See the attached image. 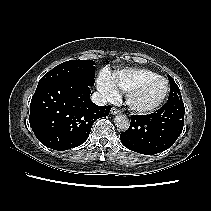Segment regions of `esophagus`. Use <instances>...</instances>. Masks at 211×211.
<instances>
[{
    "label": "esophagus",
    "mask_w": 211,
    "mask_h": 211,
    "mask_svg": "<svg viewBox=\"0 0 211 211\" xmlns=\"http://www.w3.org/2000/svg\"><path fill=\"white\" fill-rule=\"evenodd\" d=\"M111 114L112 115H115V114H118L119 113V110L115 107H113L111 110H110Z\"/></svg>",
    "instance_id": "esophagus-1"
}]
</instances>
